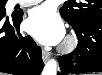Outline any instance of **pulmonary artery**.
Returning a JSON list of instances; mask_svg holds the SVG:
<instances>
[{"label":"pulmonary artery","mask_w":102,"mask_h":75,"mask_svg":"<svg viewBox=\"0 0 102 75\" xmlns=\"http://www.w3.org/2000/svg\"><path fill=\"white\" fill-rule=\"evenodd\" d=\"M18 2H21L23 4H28V3H31V2H42V0H35V1H32V0H18Z\"/></svg>","instance_id":"e3ab8cb5"}]
</instances>
